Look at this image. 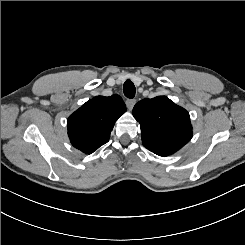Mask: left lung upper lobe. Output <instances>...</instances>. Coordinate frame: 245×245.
I'll list each match as a JSON object with an SVG mask.
<instances>
[{
    "mask_svg": "<svg viewBox=\"0 0 245 245\" xmlns=\"http://www.w3.org/2000/svg\"><path fill=\"white\" fill-rule=\"evenodd\" d=\"M133 116L141 125L143 145L157 155H171L192 138L189 113L166 96L139 101Z\"/></svg>",
    "mask_w": 245,
    "mask_h": 245,
    "instance_id": "1",
    "label": "left lung upper lobe"
}]
</instances>
